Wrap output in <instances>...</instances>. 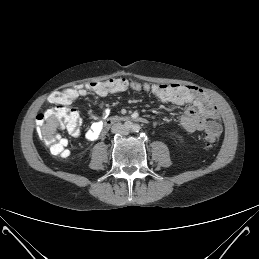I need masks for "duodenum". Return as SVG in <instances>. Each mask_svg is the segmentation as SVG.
<instances>
[{
	"label": "duodenum",
	"mask_w": 259,
	"mask_h": 259,
	"mask_svg": "<svg viewBox=\"0 0 259 259\" xmlns=\"http://www.w3.org/2000/svg\"><path fill=\"white\" fill-rule=\"evenodd\" d=\"M123 122L125 124H131L133 122L138 123H147L148 120L145 117L136 116V117H130V116H112L107 118L103 124H102V133L106 132L111 126L114 124Z\"/></svg>",
	"instance_id": "410a0bca"
}]
</instances>
